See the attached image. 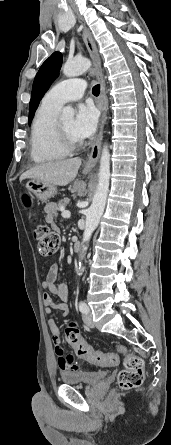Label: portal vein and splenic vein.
<instances>
[{"instance_id":"1","label":"portal vein and splenic vein","mask_w":171,"mask_h":445,"mask_svg":"<svg viewBox=\"0 0 171 445\" xmlns=\"http://www.w3.org/2000/svg\"><path fill=\"white\" fill-rule=\"evenodd\" d=\"M71 214L69 211L62 209V217L63 218H70Z\"/></svg>"}]
</instances>
